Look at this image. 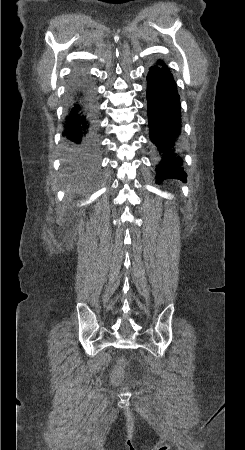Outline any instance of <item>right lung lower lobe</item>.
Returning <instances> with one entry per match:
<instances>
[{"label":"right lung lower lobe","instance_id":"98d812e1","mask_svg":"<svg viewBox=\"0 0 245 450\" xmlns=\"http://www.w3.org/2000/svg\"><path fill=\"white\" fill-rule=\"evenodd\" d=\"M63 136L67 171L78 175L94 172L99 162L96 104L92 89L84 82L71 87Z\"/></svg>","mask_w":245,"mask_h":450}]
</instances>
